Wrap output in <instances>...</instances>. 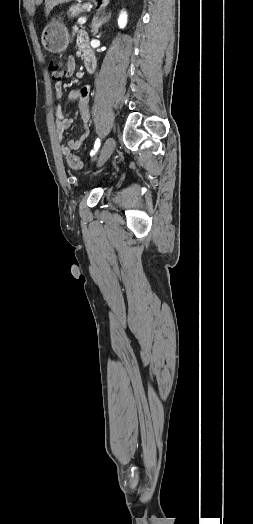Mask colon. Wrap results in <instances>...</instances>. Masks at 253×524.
<instances>
[{
  "label": "colon",
  "mask_w": 253,
  "mask_h": 524,
  "mask_svg": "<svg viewBox=\"0 0 253 524\" xmlns=\"http://www.w3.org/2000/svg\"><path fill=\"white\" fill-rule=\"evenodd\" d=\"M66 69H67L66 64L58 60H53V61H50L49 63V70L51 72V77H52V80L55 82H60L62 80L61 76L62 74L65 73ZM68 163H69V166L73 169H81L83 167L82 161L80 160L79 157L75 155L68 156Z\"/></svg>",
  "instance_id": "5ec220e1"
}]
</instances>
